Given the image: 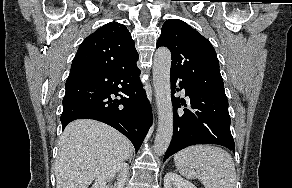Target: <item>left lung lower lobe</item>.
<instances>
[{"label": "left lung lower lobe", "instance_id": "left-lung-lower-lobe-1", "mask_svg": "<svg viewBox=\"0 0 292 188\" xmlns=\"http://www.w3.org/2000/svg\"><path fill=\"white\" fill-rule=\"evenodd\" d=\"M180 77L171 74V94L176 88ZM182 79V78H180ZM180 88H185V95L190 98V109L184 99L172 97L174 110V133L172 141L165 154L164 161L174 153L195 144H219L230 150H235L234 140L230 132V116L228 100L225 93L208 90L182 79Z\"/></svg>", "mask_w": 292, "mask_h": 188}]
</instances>
